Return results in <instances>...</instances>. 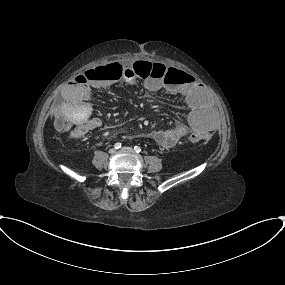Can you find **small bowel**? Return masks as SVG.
I'll return each instance as SVG.
<instances>
[{"mask_svg": "<svg viewBox=\"0 0 285 285\" xmlns=\"http://www.w3.org/2000/svg\"><path fill=\"white\" fill-rule=\"evenodd\" d=\"M107 67L108 65L89 69L102 71V78L86 81L82 75H78L70 80L62 90L63 100L55 108V112L74 111L76 122V127L72 132L74 137H81L102 125L101 119L88 117L91 106L87 100L92 89L105 88L121 80L120 75ZM128 81L132 82L134 78H129ZM143 86L149 92H157L161 89L168 90L181 98L188 110L187 123H179L172 129L156 130L148 134L160 146L171 148L192 131L209 133L215 129V118L206 107V92L192 77L185 83L175 86H165L159 80L148 79L143 82Z\"/></svg>", "mask_w": 285, "mask_h": 285, "instance_id": "1", "label": "small bowel"}]
</instances>
